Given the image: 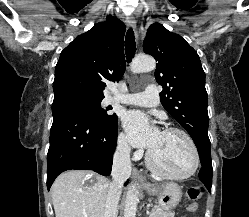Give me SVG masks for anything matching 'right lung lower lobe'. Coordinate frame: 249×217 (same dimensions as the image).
<instances>
[{
    "label": "right lung lower lobe",
    "instance_id": "98d812e1",
    "mask_svg": "<svg viewBox=\"0 0 249 217\" xmlns=\"http://www.w3.org/2000/svg\"><path fill=\"white\" fill-rule=\"evenodd\" d=\"M53 124L47 154V188L55 178L71 169L111 173L117 145L118 124L97 125L80 110L67 103L52 105Z\"/></svg>",
    "mask_w": 249,
    "mask_h": 217
}]
</instances>
